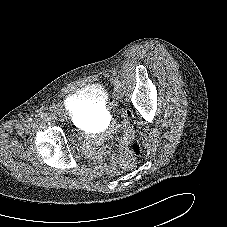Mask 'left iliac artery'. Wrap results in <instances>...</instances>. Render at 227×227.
Wrapping results in <instances>:
<instances>
[{
  "label": "left iliac artery",
  "instance_id": "obj_1",
  "mask_svg": "<svg viewBox=\"0 0 227 227\" xmlns=\"http://www.w3.org/2000/svg\"><path fill=\"white\" fill-rule=\"evenodd\" d=\"M114 85H115L116 87H119V86H121V83H120V81H119L118 79H115V80H114Z\"/></svg>",
  "mask_w": 227,
  "mask_h": 227
}]
</instances>
